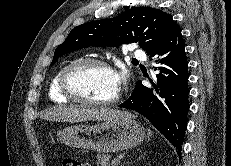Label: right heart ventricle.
I'll return each instance as SVG.
<instances>
[{
	"mask_svg": "<svg viewBox=\"0 0 231 166\" xmlns=\"http://www.w3.org/2000/svg\"><path fill=\"white\" fill-rule=\"evenodd\" d=\"M69 65V64H68ZM68 65L63 66L53 77L51 83H50V87H49V97L53 102L56 103H64L67 102L69 99L66 98L60 91L59 88V79L60 76L62 74V71L64 70V68Z\"/></svg>",
	"mask_w": 231,
	"mask_h": 166,
	"instance_id": "obj_1",
	"label": "right heart ventricle"
}]
</instances>
